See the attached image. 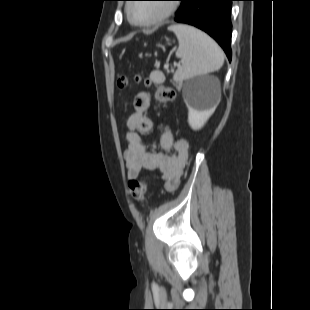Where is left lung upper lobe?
<instances>
[{
  "label": "left lung upper lobe",
  "mask_w": 310,
  "mask_h": 310,
  "mask_svg": "<svg viewBox=\"0 0 310 310\" xmlns=\"http://www.w3.org/2000/svg\"><path fill=\"white\" fill-rule=\"evenodd\" d=\"M179 1H181V5H180V8H179V10L177 11V13L182 9V7H183V5H184V3H185L186 0H179Z\"/></svg>",
  "instance_id": "obj_1"
}]
</instances>
